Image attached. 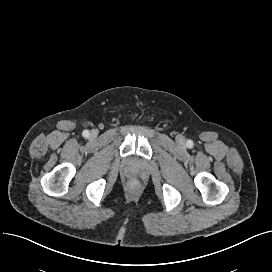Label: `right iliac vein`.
Returning <instances> with one entry per match:
<instances>
[{
	"instance_id": "obj_1",
	"label": "right iliac vein",
	"mask_w": 272,
	"mask_h": 272,
	"mask_svg": "<svg viewBox=\"0 0 272 272\" xmlns=\"http://www.w3.org/2000/svg\"><path fill=\"white\" fill-rule=\"evenodd\" d=\"M92 135H95V132H92Z\"/></svg>"
}]
</instances>
